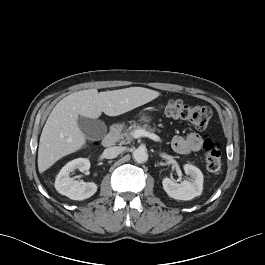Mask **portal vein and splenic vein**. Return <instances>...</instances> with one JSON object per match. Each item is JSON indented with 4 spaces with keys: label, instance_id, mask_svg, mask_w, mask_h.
I'll return each mask as SVG.
<instances>
[{
    "label": "portal vein and splenic vein",
    "instance_id": "18ae733b",
    "mask_svg": "<svg viewBox=\"0 0 265 265\" xmlns=\"http://www.w3.org/2000/svg\"><path fill=\"white\" fill-rule=\"evenodd\" d=\"M133 137H134V138L148 137V138H150V139H152V140H154V141H156V142L161 141L160 137L157 136L156 134H154V133H150V132H148V131H146V130H142V129H140V130H136V131L133 133Z\"/></svg>",
    "mask_w": 265,
    "mask_h": 265
}]
</instances>
